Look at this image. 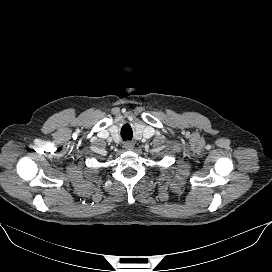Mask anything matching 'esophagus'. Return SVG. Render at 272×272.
<instances>
[{"label":"esophagus","mask_w":272,"mask_h":272,"mask_svg":"<svg viewBox=\"0 0 272 272\" xmlns=\"http://www.w3.org/2000/svg\"><path fill=\"white\" fill-rule=\"evenodd\" d=\"M133 147H134V144H133L132 142H125V143H124V148H125L126 150H132Z\"/></svg>","instance_id":"obj_1"}]
</instances>
